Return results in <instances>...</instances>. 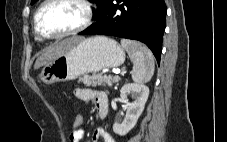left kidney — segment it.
<instances>
[{
  "label": "left kidney",
  "mask_w": 227,
  "mask_h": 142,
  "mask_svg": "<svg viewBox=\"0 0 227 142\" xmlns=\"http://www.w3.org/2000/svg\"><path fill=\"white\" fill-rule=\"evenodd\" d=\"M128 95L134 99L128 102ZM149 96V88L143 84H125L120 90V97L126 103L127 111L121 124L114 123L113 131L120 135H126L136 125L138 118L142 114Z\"/></svg>",
  "instance_id": "left-kidney-1"
}]
</instances>
